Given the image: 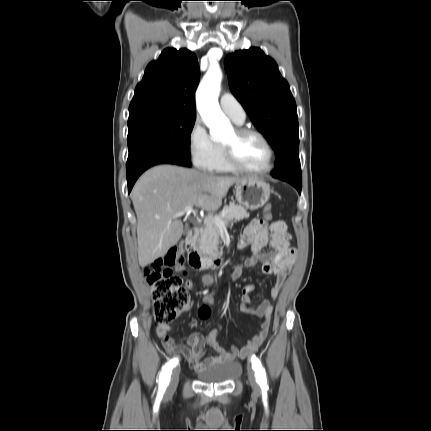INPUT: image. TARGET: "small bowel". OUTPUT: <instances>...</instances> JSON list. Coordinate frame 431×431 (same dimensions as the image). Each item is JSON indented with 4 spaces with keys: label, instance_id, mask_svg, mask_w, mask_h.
Listing matches in <instances>:
<instances>
[{
    "label": "small bowel",
    "instance_id": "1",
    "mask_svg": "<svg viewBox=\"0 0 431 431\" xmlns=\"http://www.w3.org/2000/svg\"><path fill=\"white\" fill-rule=\"evenodd\" d=\"M266 245L272 249L271 254L262 252ZM239 247L242 250L249 249L250 255L235 264V267H240V270L231 268L230 277L237 280L244 270L259 264L261 275L275 276L276 281L270 288V294L276 297L295 261V250L291 246V235L287 231L286 224L280 220L268 222L263 219H253L244 228ZM185 286L189 289L195 288L192 280L188 278L185 280ZM255 289V285L247 284L241 290L240 311L261 320L259 331L243 347L231 345L226 349L218 339L216 328H212L205 336L192 333L188 336L186 344H178L170 336L172 327L163 324L157 327L156 333L166 352L184 356L196 371L232 362L236 358H245L256 352L267 337L273 306L268 300L262 301L256 307L252 306V294ZM204 298H208L210 305L213 303L209 301L210 297L207 294L203 296L202 302ZM209 350H214L217 355L209 356Z\"/></svg>",
    "mask_w": 431,
    "mask_h": 431
}]
</instances>
